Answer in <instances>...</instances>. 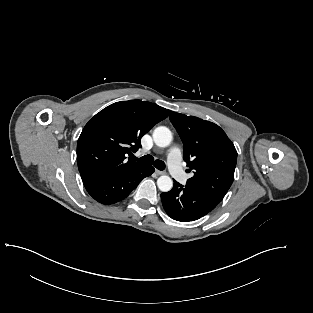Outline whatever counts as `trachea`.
Wrapping results in <instances>:
<instances>
[{
    "label": "trachea",
    "instance_id": "trachea-1",
    "mask_svg": "<svg viewBox=\"0 0 313 313\" xmlns=\"http://www.w3.org/2000/svg\"><path fill=\"white\" fill-rule=\"evenodd\" d=\"M134 160L143 163V164H153L158 170H164L165 169V163L161 160H155L153 156L151 155H145L141 158H135Z\"/></svg>",
    "mask_w": 313,
    "mask_h": 313
}]
</instances>
